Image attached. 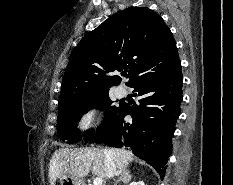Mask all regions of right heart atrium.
I'll return each mask as SVG.
<instances>
[{"mask_svg": "<svg viewBox=\"0 0 233 185\" xmlns=\"http://www.w3.org/2000/svg\"><path fill=\"white\" fill-rule=\"evenodd\" d=\"M98 122V107L95 104H90L80 112L75 127L81 133L90 132Z\"/></svg>", "mask_w": 233, "mask_h": 185, "instance_id": "1", "label": "right heart atrium"}]
</instances>
